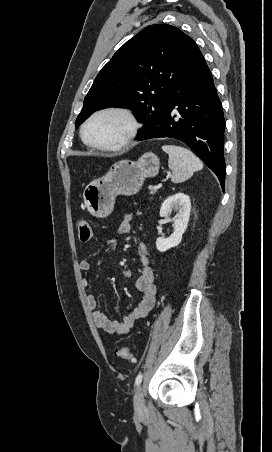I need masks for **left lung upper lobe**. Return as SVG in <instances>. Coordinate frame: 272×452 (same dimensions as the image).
<instances>
[{
  "instance_id": "1",
  "label": "left lung upper lobe",
  "mask_w": 272,
  "mask_h": 452,
  "mask_svg": "<svg viewBox=\"0 0 272 452\" xmlns=\"http://www.w3.org/2000/svg\"><path fill=\"white\" fill-rule=\"evenodd\" d=\"M197 48L192 38L174 26L146 27L101 69L84 99L76 127L107 107L133 109L143 128L155 124Z\"/></svg>"
}]
</instances>
